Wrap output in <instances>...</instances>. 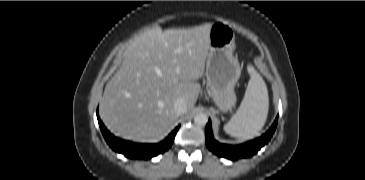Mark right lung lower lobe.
<instances>
[{
	"mask_svg": "<svg viewBox=\"0 0 365 180\" xmlns=\"http://www.w3.org/2000/svg\"><path fill=\"white\" fill-rule=\"evenodd\" d=\"M97 119L102 131V134L108 145L116 152L123 154L127 158L133 159H149L164 151H167L175 138L179 126L172 131V133L161 143L157 144H139L125 141L113 136L102 123L97 113Z\"/></svg>",
	"mask_w": 365,
	"mask_h": 180,
	"instance_id": "98d812e1",
	"label": "right lung lower lobe"
}]
</instances>
